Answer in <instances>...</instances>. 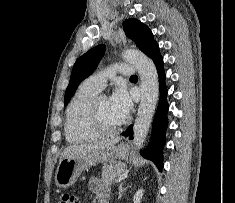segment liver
<instances>
[{
	"label": "liver",
	"mask_w": 235,
	"mask_h": 203,
	"mask_svg": "<svg viewBox=\"0 0 235 203\" xmlns=\"http://www.w3.org/2000/svg\"><path fill=\"white\" fill-rule=\"evenodd\" d=\"M120 140H121L120 137H116L112 139L102 140L99 142L68 146L61 153L60 161L67 156L77 155L80 153H93V152L95 153V152L104 151L105 149L114 147L115 144L118 143Z\"/></svg>",
	"instance_id": "1"
}]
</instances>
